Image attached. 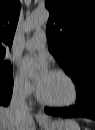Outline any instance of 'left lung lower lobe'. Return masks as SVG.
<instances>
[{
	"mask_svg": "<svg viewBox=\"0 0 95 130\" xmlns=\"http://www.w3.org/2000/svg\"><path fill=\"white\" fill-rule=\"evenodd\" d=\"M50 115L71 117H85L95 119V79L89 80L77 91L76 104L69 108H45Z\"/></svg>",
	"mask_w": 95,
	"mask_h": 130,
	"instance_id": "obj_1",
	"label": "left lung lower lobe"
}]
</instances>
